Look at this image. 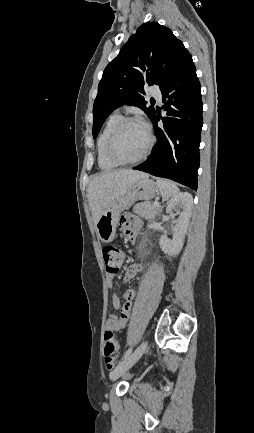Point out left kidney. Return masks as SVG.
Wrapping results in <instances>:
<instances>
[{
	"mask_svg": "<svg viewBox=\"0 0 254 433\" xmlns=\"http://www.w3.org/2000/svg\"><path fill=\"white\" fill-rule=\"evenodd\" d=\"M193 197L188 192H182L174 196L167 204L166 213L174 218V211L179 217L175 220L173 238L166 235L160 237L161 250L169 256L179 254L183 247L185 234L192 214Z\"/></svg>",
	"mask_w": 254,
	"mask_h": 433,
	"instance_id": "5707ae66",
	"label": "left kidney"
}]
</instances>
